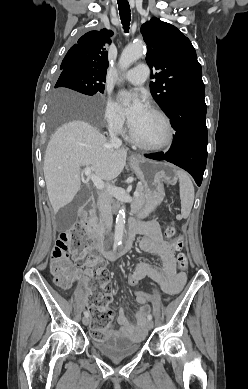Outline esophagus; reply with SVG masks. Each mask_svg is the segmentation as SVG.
<instances>
[{"label": "esophagus", "instance_id": "1", "mask_svg": "<svg viewBox=\"0 0 248 389\" xmlns=\"http://www.w3.org/2000/svg\"><path fill=\"white\" fill-rule=\"evenodd\" d=\"M130 159L133 160V161H136V160L139 159V156L136 155V154H132V155L130 156Z\"/></svg>", "mask_w": 248, "mask_h": 389}]
</instances>
